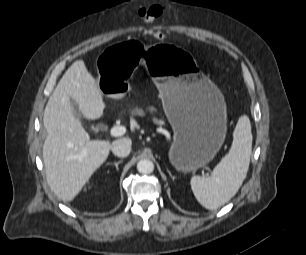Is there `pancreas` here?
<instances>
[{"instance_id": "1", "label": "pancreas", "mask_w": 306, "mask_h": 255, "mask_svg": "<svg viewBox=\"0 0 306 255\" xmlns=\"http://www.w3.org/2000/svg\"><path fill=\"white\" fill-rule=\"evenodd\" d=\"M134 114L143 115L144 112H143V110H141V109H137V110L134 112ZM152 121H153V123H155V124H157V125H164V124H165L164 120L158 119V118H156V117H154V118L152 119Z\"/></svg>"}]
</instances>
